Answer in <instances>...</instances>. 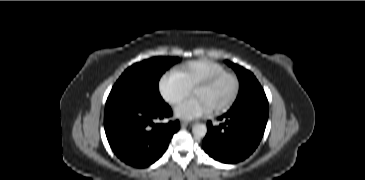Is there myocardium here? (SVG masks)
<instances>
[{"mask_svg": "<svg viewBox=\"0 0 365 180\" xmlns=\"http://www.w3.org/2000/svg\"><path fill=\"white\" fill-rule=\"evenodd\" d=\"M223 76H230V77L233 78V80H234V89H233V93L231 94L229 99L224 104L217 107V110H219V111L226 110L234 104V102L236 101V99H237V97L240 93V88H241L240 80H239L238 76L235 73H232V72L225 73L224 75L218 76L215 79H213L212 82L219 80Z\"/></svg>", "mask_w": 365, "mask_h": 180, "instance_id": "obj_1", "label": "myocardium"}]
</instances>
